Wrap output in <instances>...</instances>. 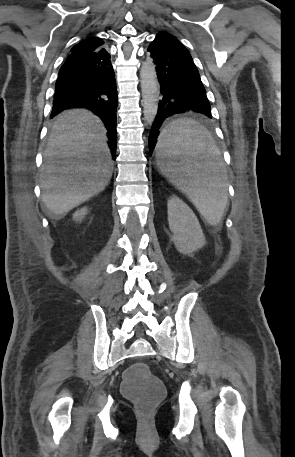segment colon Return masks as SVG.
Wrapping results in <instances>:
<instances>
[{"label":"colon","instance_id":"1","mask_svg":"<svg viewBox=\"0 0 295 457\" xmlns=\"http://www.w3.org/2000/svg\"><path fill=\"white\" fill-rule=\"evenodd\" d=\"M120 387L145 416L153 411L163 394L162 384L149 363H132L131 369L125 370V381H121Z\"/></svg>","mask_w":295,"mask_h":457}]
</instances>
